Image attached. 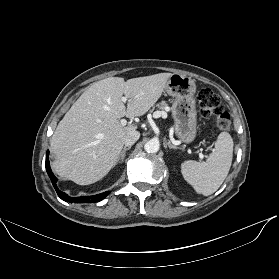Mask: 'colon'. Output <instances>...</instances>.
Instances as JSON below:
<instances>
[{"label":"colon","instance_id":"colon-1","mask_svg":"<svg viewBox=\"0 0 279 279\" xmlns=\"http://www.w3.org/2000/svg\"><path fill=\"white\" fill-rule=\"evenodd\" d=\"M199 109L206 118H212L214 126L220 131L231 128V117L223 109L220 97L211 89L203 88L198 93Z\"/></svg>","mask_w":279,"mask_h":279}]
</instances>
